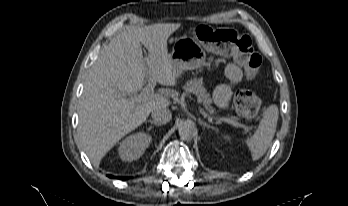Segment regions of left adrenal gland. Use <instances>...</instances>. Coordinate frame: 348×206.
<instances>
[{"mask_svg":"<svg viewBox=\"0 0 348 206\" xmlns=\"http://www.w3.org/2000/svg\"><path fill=\"white\" fill-rule=\"evenodd\" d=\"M198 123L200 125H203V128H211V129H215L213 126H211L210 124L206 123L205 121L201 120L200 118L198 119Z\"/></svg>","mask_w":348,"mask_h":206,"instance_id":"1","label":"left adrenal gland"}]
</instances>
